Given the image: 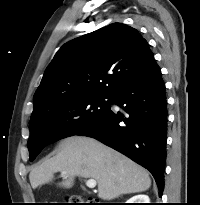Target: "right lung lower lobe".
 <instances>
[{
	"label": "right lung lower lobe",
	"mask_w": 200,
	"mask_h": 205,
	"mask_svg": "<svg viewBox=\"0 0 200 205\" xmlns=\"http://www.w3.org/2000/svg\"><path fill=\"white\" fill-rule=\"evenodd\" d=\"M111 109L76 135L88 136L123 153L153 175L159 196L164 189L167 101L161 69L156 62L111 96Z\"/></svg>",
	"instance_id": "obj_1"
}]
</instances>
